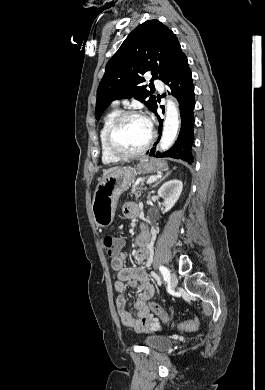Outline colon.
Segmentation results:
<instances>
[{
  "instance_id": "5ec220e1",
  "label": "colon",
  "mask_w": 265,
  "mask_h": 390,
  "mask_svg": "<svg viewBox=\"0 0 265 390\" xmlns=\"http://www.w3.org/2000/svg\"><path fill=\"white\" fill-rule=\"evenodd\" d=\"M103 246L109 256L113 257L117 253L116 238L113 236H105L103 238ZM148 306L154 315L160 317L165 322L169 321L168 314L158 303L150 302ZM199 324L200 321L198 319H193L190 321L177 322L175 323V326L184 331H193L199 327Z\"/></svg>"
}]
</instances>
